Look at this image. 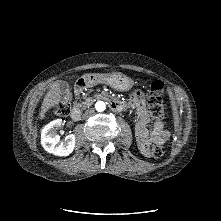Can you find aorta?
<instances>
[{"label":"aorta","instance_id":"obj_1","mask_svg":"<svg viewBox=\"0 0 221 221\" xmlns=\"http://www.w3.org/2000/svg\"><path fill=\"white\" fill-rule=\"evenodd\" d=\"M105 108H106L105 102H103V101H98V102H96V104H95V109H96L98 112L104 111Z\"/></svg>","mask_w":221,"mask_h":221}]
</instances>
